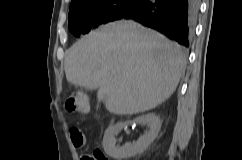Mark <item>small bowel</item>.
Wrapping results in <instances>:
<instances>
[{"instance_id":"c3829d8e","label":"small bowel","mask_w":242,"mask_h":160,"mask_svg":"<svg viewBox=\"0 0 242 160\" xmlns=\"http://www.w3.org/2000/svg\"><path fill=\"white\" fill-rule=\"evenodd\" d=\"M87 155H83L82 157H81V160H85V157H86Z\"/></svg>"}]
</instances>
